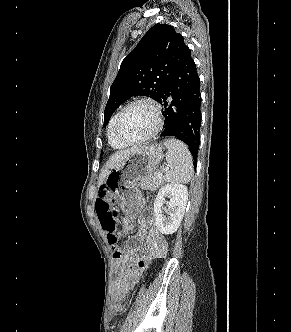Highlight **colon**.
Listing matches in <instances>:
<instances>
[{
  "label": "colon",
  "instance_id": "obj_1",
  "mask_svg": "<svg viewBox=\"0 0 291 332\" xmlns=\"http://www.w3.org/2000/svg\"><path fill=\"white\" fill-rule=\"evenodd\" d=\"M96 211L102 229L106 233L108 243L111 245L114 257H118L119 252L116 248L118 241L117 221L116 213L117 209L114 203L113 196L110 190L106 187L100 189L96 200ZM124 309V304L120 302H114L111 305V312L118 314Z\"/></svg>",
  "mask_w": 291,
  "mask_h": 332
}]
</instances>
